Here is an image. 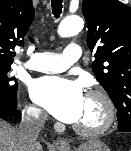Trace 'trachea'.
Returning a JSON list of instances; mask_svg holds the SVG:
<instances>
[{
  "label": "trachea",
  "instance_id": "trachea-1",
  "mask_svg": "<svg viewBox=\"0 0 131 151\" xmlns=\"http://www.w3.org/2000/svg\"><path fill=\"white\" fill-rule=\"evenodd\" d=\"M52 11L55 18H59L62 12V0H51Z\"/></svg>",
  "mask_w": 131,
  "mask_h": 151
}]
</instances>
